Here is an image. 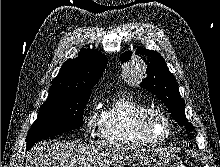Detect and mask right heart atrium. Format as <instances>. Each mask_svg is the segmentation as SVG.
<instances>
[{
  "label": "right heart atrium",
  "instance_id": "right-heart-atrium-1",
  "mask_svg": "<svg viewBox=\"0 0 220 167\" xmlns=\"http://www.w3.org/2000/svg\"><path fill=\"white\" fill-rule=\"evenodd\" d=\"M101 118H102V114L96 107H93L89 111L86 119V131L89 134L94 133L100 127Z\"/></svg>",
  "mask_w": 220,
  "mask_h": 167
}]
</instances>
